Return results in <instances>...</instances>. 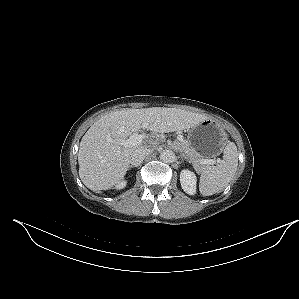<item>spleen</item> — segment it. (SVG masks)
I'll return each instance as SVG.
<instances>
[{"label": "spleen", "mask_w": 299, "mask_h": 299, "mask_svg": "<svg viewBox=\"0 0 299 299\" xmlns=\"http://www.w3.org/2000/svg\"><path fill=\"white\" fill-rule=\"evenodd\" d=\"M223 154V160L220 164L206 166L201 173L199 191L203 196L222 192L236 173L238 153L235 143L229 142Z\"/></svg>", "instance_id": "spleen-1"}]
</instances>
